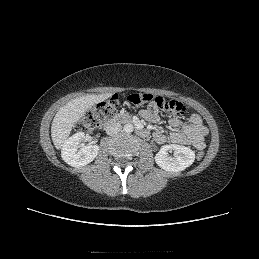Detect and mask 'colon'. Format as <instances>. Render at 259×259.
Here are the masks:
<instances>
[{"mask_svg": "<svg viewBox=\"0 0 259 259\" xmlns=\"http://www.w3.org/2000/svg\"><path fill=\"white\" fill-rule=\"evenodd\" d=\"M131 105L139 106L145 103L154 105L157 109L168 111L176 114H181L185 111L183 103L177 100H168L161 96H154L146 93H134L127 97ZM119 106V98L117 95L111 96L106 101L97 105L96 109L87 113L79 124L82 130L94 129L99 127L105 121L110 119L116 112ZM204 157L203 151H198L196 158L201 160Z\"/></svg>", "mask_w": 259, "mask_h": 259, "instance_id": "5ec220e1", "label": "colon"}]
</instances>
